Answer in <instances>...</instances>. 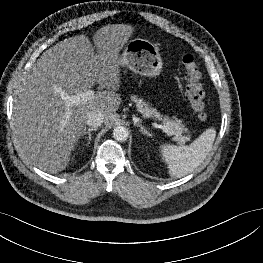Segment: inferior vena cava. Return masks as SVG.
I'll return each instance as SVG.
<instances>
[{"instance_id": "602c4592", "label": "inferior vena cava", "mask_w": 263, "mask_h": 263, "mask_svg": "<svg viewBox=\"0 0 263 263\" xmlns=\"http://www.w3.org/2000/svg\"><path fill=\"white\" fill-rule=\"evenodd\" d=\"M103 122H104V115L102 114V112L94 110V111H90L87 114L86 123H87L88 126H90L92 128H97Z\"/></svg>"}]
</instances>
